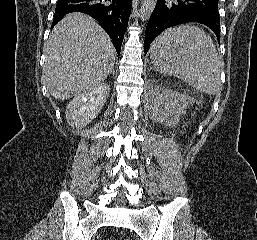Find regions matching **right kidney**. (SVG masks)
Here are the masks:
<instances>
[{
  "label": "right kidney",
  "instance_id": "obj_1",
  "mask_svg": "<svg viewBox=\"0 0 257 240\" xmlns=\"http://www.w3.org/2000/svg\"><path fill=\"white\" fill-rule=\"evenodd\" d=\"M110 87L102 83L78 95L66 107V119L69 125L82 128L95 119L104 106Z\"/></svg>",
  "mask_w": 257,
  "mask_h": 240
}]
</instances>
